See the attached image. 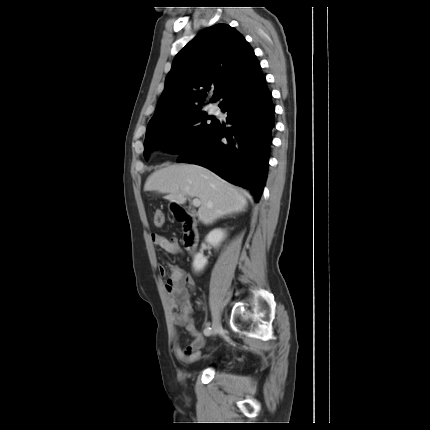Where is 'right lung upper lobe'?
<instances>
[{"label": "right lung upper lobe", "instance_id": "right-lung-upper-lobe-1", "mask_svg": "<svg viewBox=\"0 0 430 430\" xmlns=\"http://www.w3.org/2000/svg\"><path fill=\"white\" fill-rule=\"evenodd\" d=\"M254 51L245 38L227 24L201 31L174 58L148 128L211 102L223 104L232 90L263 77Z\"/></svg>", "mask_w": 430, "mask_h": 430}]
</instances>
